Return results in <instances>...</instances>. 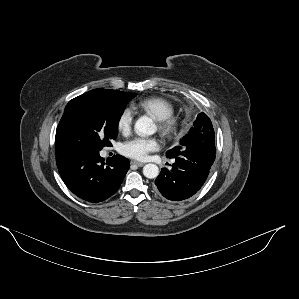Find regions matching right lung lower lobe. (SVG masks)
<instances>
[{"mask_svg":"<svg viewBox=\"0 0 299 299\" xmlns=\"http://www.w3.org/2000/svg\"><path fill=\"white\" fill-rule=\"evenodd\" d=\"M56 163L66 186L89 202H101L113 195L129 169L126 158L115 155L105 162L95 150L59 156Z\"/></svg>","mask_w":299,"mask_h":299,"instance_id":"right-lung-lower-lobe-1","label":"right lung lower lobe"}]
</instances>
